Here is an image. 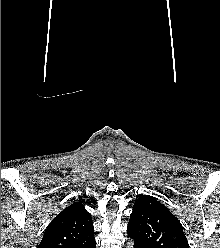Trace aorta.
I'll use <instances>...</instances> for the list:
<instances>
[{
	"mask_svg": "<svg viewBox=\"0 0 220 248\" xmlns=\"http://www.w3.org/2000/svg\"><path fill=\"white\" fill-rule=\"evenodd\" d=\"M132 245H133V243L131 242V243H129V247H132Z\"/></svg>",
	"mask_w": 220,
	"mask_h": 248,
	"instance_id": "1",
	"label": "aorta"
}]
</instances>
